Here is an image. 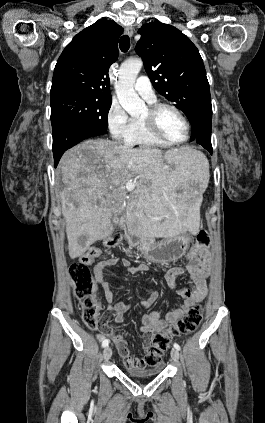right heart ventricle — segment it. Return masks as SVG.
I'll use <instances>...</instances> for the list:
<instances>
[{
	"mask_svg": "<svg viewBox=\"0 0 265 423\" xmlns=\"http://www.w3.org/2000/svg\"><path fill=\"white\" fill-rule=\"evenodd\" d=\"M126 143L143 149H163L169 145L155 138L146 128L142 119H132Z\"/></svg>",
	"mask_w": 265,
	"mask_h": 423,
	"instance_id": "e07e8e85",
	"label": "right heart ventricle"
}]
</instances>
